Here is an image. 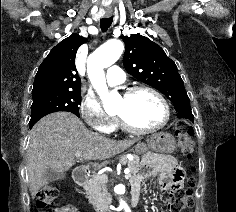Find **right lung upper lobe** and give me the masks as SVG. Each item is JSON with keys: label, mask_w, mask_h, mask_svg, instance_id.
<instances>
[{"label": "right lung upper lobe", "mask_w": 236, "mask_h": 212, "mask_svg": "<svg viewBox=\"0 0 236 212\" xmlns=\"http://www.w3.org/2000/svg\"><path fill=\"white\" fill-rule=\"evenodd\" d=\"M86 41V38L72 34L50 51L36 74L33 95L50 91H81L75 57L78 48Z\"/></svg>", "instance_id": "obj_1"}]
</instances>
